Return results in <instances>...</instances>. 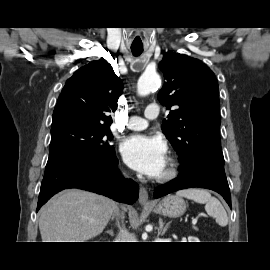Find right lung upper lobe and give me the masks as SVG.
<instances>
[{"mask_svg": "<svg viewBox=\"0 0 270 270\" xmlns=\"http://www.w3.org/2000/svg\"><path fill=\"white\" fill-rule=\"evenodd\" d=\"M123 84L105 60L91 62L69 78L58 98L51 127L82 123L109 127Z\"/></svg>", "mask_w": 270, "mask_h": 270, "instance_id": "cb5924a9", "label": "right lung upper lobe"}]
</instances>
